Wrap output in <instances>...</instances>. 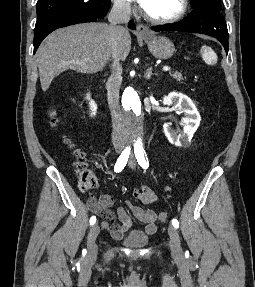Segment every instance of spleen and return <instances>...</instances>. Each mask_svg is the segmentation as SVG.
Wrapping results in <instances>:
<instances>
[{
  "instance_id": "obj_1",
  "label": "spleen",
  "mask_w": 255,
  "mask_h": 287,
  "mask_svg": "<svg viewBox=\"0 0 255 287\" xmlns=\"http://www.w3.org/2000/svg\"><path fill=\"white\" fill-rule=\"evenodd\" d=\"M202 52V58L206 64H209V66H213V64H217V56L211 48H208V46H202L201 48Z\"/></svg>"
}]
</instances>
